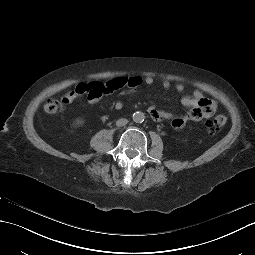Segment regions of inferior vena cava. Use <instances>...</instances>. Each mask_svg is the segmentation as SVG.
I'll return each mask as SVG.
<instances>
[{
	"label": "inferior vena cava",
	"instance_id": "obj_1",
	"mask_svg": "<svg viewBox=\"0 0 255 255\" xmlns=\"http://www.w3.org/2000/svg\"><path fill=\"white\" fill-rule=\"evenodd\" d=\"M127 123H128L127 119L121 118V119L116 121V126H118V127L125 126Z\"/></svg>",
	"mask_w": 255,
	"mask_h": 255
}]
</instances>
